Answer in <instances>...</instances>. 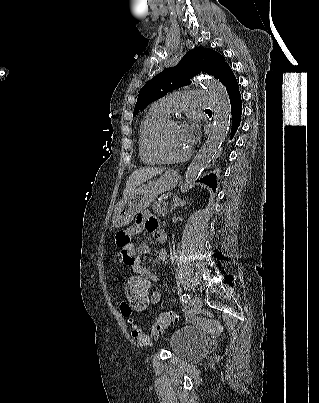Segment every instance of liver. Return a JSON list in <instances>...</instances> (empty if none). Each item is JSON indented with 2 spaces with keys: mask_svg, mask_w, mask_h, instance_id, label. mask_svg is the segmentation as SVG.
I'll list each match as a JSON object with an SVG mask.
<instances>
[{
  "mask_svg": "<svg viewBox=\"0 0 319 403\" xmlns=\"http://www.w3.org/2000/svg\"><path fill=\"white\" fill-rule=\"evenodd\" d=\"M164 172V168L148 167L135 170L126 182V187L123 191V199L130 195V193L143 182L148 179Z\"/></svg>",
  "mask_w": 319,
  "mask_h": 403,
  "instance_id": "1",
  "label": "liver"
}]
</instances>
